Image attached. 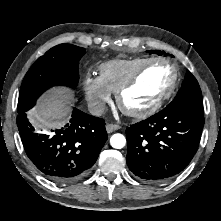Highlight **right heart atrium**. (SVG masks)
<instances>
[{
	"instance_id": "right-heart-atrium-1",
	"label": "right heart atrium",
	"mask_w": 221,
	"mask_h": 221,
	"mask_svg": "<svg viewBox=\"0 0 221 221\" xmlns=\"http://www.w3.org/2000/svg\"><path fill=\"white\" fill-rule=\"evenodd\" d=\"M83 89L89 106L95 112H102L105 105L111 100V91L100 77L87 75L83 81Z\"/></svg>"
}]
</instances>
